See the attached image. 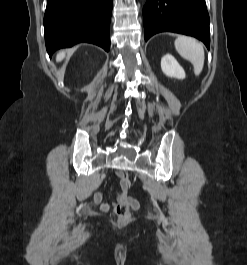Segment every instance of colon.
Returning <instances> with one entry per match:
<instances>
[{"instance_id": "colon-1", "label": "colon", "mask_w": 247, "mask_h": 265, "mask_svg": "<svg viewBox=\"0 0 247 265\" xmlns=\"http://www.w3.org/2000/svg\"><path fill=\"white\" fill-rule=\"evenodd\" d=\"M118 177L122 190L128 191L131 185L129 178L123 173H118ZM129 208L130 206L127 202H120L115 206L114 212L120 223H126L129 220Z\"/></svg>"}]
</instances>
